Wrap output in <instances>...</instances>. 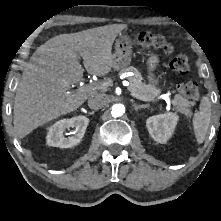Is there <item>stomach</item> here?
Here are the masks:
<instances>
[{
  "label": "stomach",
  "mask_w": 221,
  "mask_h": 221,
  "mask_svg": "<svg viewBox=\"0 0 221 221\" xmlns=\"http://www.w3.org/2000/svg\"><path fill=\"white\" fill-rule=\"evenodd\" d=\"M132 44L130 36L121 33L115 41V52L113 53V67L121 69L127 67L131 62ZM159 63L158 55L150 53L147 59V66L149 72V81L157 88L158 79L153 75L152 71Z\"/></svg>",
  "instance_id": "obj_1"
}]
</instances>
